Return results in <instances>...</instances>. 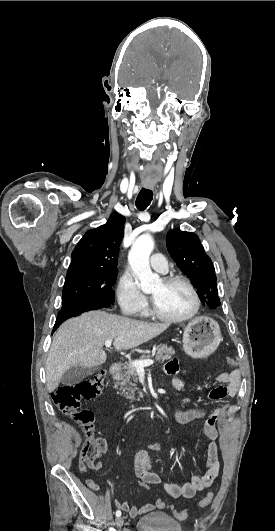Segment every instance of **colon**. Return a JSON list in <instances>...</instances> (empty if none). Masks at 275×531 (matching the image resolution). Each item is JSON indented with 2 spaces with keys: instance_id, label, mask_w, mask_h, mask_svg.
<instances>
[{
  "instance_id": "colon-1",
  "label": "colon",
  "mask_w": 275,
  "mask_h": 531,
  "mask_svg": "<svg viewBox=\"0 0 275 531\" xmlns=\"http://www.w3.org/2000/svg\"><path fill=\"white\" fill-rule=\"evenodd\" d=\"M227 362L230 366L237 365V359L229 353ZM105 382V375L103 372H98L91 377L83 378L78 381L71 382L67 385L59 387L53 394L54 405L63 413L71 417L80 427L84 435V443L80 453V470L85 472L87 467L96 468L101 466L100 456L106 449L105 441L95 438V415L89 409L81 408V402L91 400L97 397ZM91 488H95L96 484L93 479L87 480ZM144 486V490L148 491L150 486L140 482L138 484ZM214 499L212 492L206 494L198 501V508L208 507ZM158 509H165L169 507L175 516L178 517L180 523L188 522L187 511H178L171 506H167L163 501L156 502Z\"/></svg>"
}]
</instances>
